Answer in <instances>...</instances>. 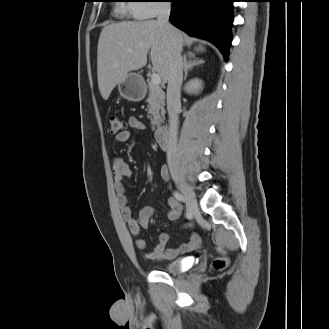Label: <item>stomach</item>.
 <instances>
[{"mask_svg":"<svg viewBox=\"0 0 329 329\" xmlns=\"http://www.w3.org/2000/svg\"><path fill=\"white\" fill-rule=\"evenodd\" d=\"M118 90L122 97L132 102H139L146 95L144 80L137 73H129L125 80L118 84Z\"/></svg>","mask_w":329,"mask_h":329,"instance_id":"stomach-1","label":"stomach"}]
</instances>
